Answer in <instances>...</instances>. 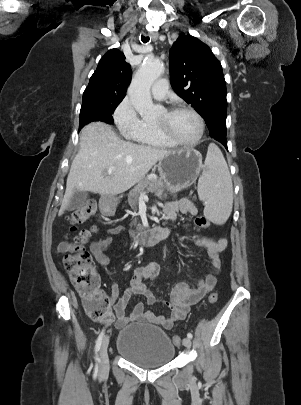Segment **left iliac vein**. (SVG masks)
<instances>
[{
    "mask_svg": "<svg viewBox=\"0 0 301 405\" xmlns=\"http://www.w3.org/2000/svg\"><path fill=\"white\" fill-rule=\"evenodd\" d=\"M183 345L186 347V348H190L191 347V340H190V338H184L183 339Z\"/></svg>",
    "mask_w": 301,
    "mask_h": 405,
    "instance_id": "left-iliac-vein-1",
    "label": "left iliac vein"
}]
</instances>
